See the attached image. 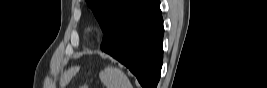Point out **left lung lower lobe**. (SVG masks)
<instances>
[{"label":"left lung lower lobe","instance_id":"obj_1","mask_svg":"<svg viewBox=\"0 0 267 88\" xmlns=\"http://www.w3.org/2000/svg\"><path fill=\"white\" fill-rule=\"evenodd\" d=\"M159 0H140L104 34L101 49L127 66L143 88H156L163 59Z\"/></svg>","mask_w":267,"mask_h":88}]
</instances>
